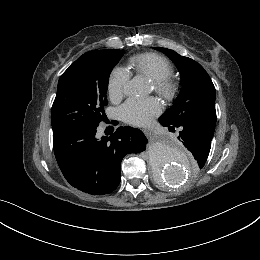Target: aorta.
<instances>
[{
	"mask_svg": "<svg viewBox=\"0 0 260 260\" xmlns=\"http://www.w3.org/2000/svg\"><path fill=\"white\" fill-rule=\"evenodd\" d=\"M129 95L140 96L149 92L141 78H134L126 85ZM149 163L154 176L169 186L181 184L190 174L192 163L188 155L167 140L154 141L148 148Z\"/></svg>",
	"mask_w": 260,
	"mask_h": 260,
	"instance_id": "obj_1",
	"label": "aorta"
}]
</instances>
